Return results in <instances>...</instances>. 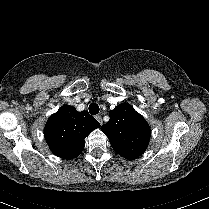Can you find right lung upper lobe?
Wrapping results in <instances>:
<instances>
[{"mask_svg": "<svg viewBox=\"0 0 209 209\" xmlns=\"http://www.w3.org/2000/svg\"><path fill=\"white\" fill-rule=\"evenodd\" d=\"M99 127V122L87 111L78 112L73 106L63 105L49 117L44 136L53 154L73 159L84 149L89 133Z\"/></svg>", "mask_w": 209, "mask_h": 209, "instance_id": "cb5924a9", "label": "right lung upper lobe"}]
</instances>
